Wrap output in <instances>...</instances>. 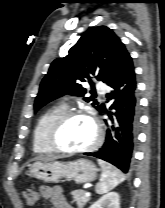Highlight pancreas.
Here are the masks:
<instances>
[{
    "mask_svg": "<svg viewBox=\"0 0 165 208\" xmlns=\"http://www.w3.org/2000/svg\"><path fill=\"white\" fill-rule=\"evenodd\" d=\"M85 191L78 189L71 192L74 201L77 203L78 208H83V206L90 200V197L85 195Z\"/></svg>",
    "mask_w": 165,
    "mask_h": 208,
    "instance_id": "cf45deb5",
    "label": "pancreas"
}]
</instances>
